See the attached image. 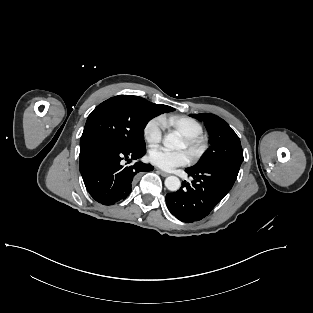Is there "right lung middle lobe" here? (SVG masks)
<instances>
[{
  "instance_id": "1",
  "label": "right lung middle lobe",
  "mask_w": 313,
  "mask_h": 313,
  "mask_svg": "<svg viewBox=\"0 0 313 313\" xmlns=\"http://www.w3.org/2000/svg\"><path fill=\"white\" fill-rule=\"evenodd\" d=\"M162 113L154 103L138 96L112 97L99 104L88 116L80 144L103 138L129 148L144 147L146 124Z\"/></svg>"
}]
</instances>
